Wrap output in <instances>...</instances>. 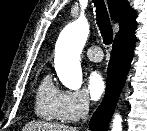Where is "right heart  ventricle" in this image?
<instances>
[{
    "mask_svg": "<svg viewBox=\"0 0 147 131\" xmlns=\"http://www.w3.org/2000/svg\"><path fill=\"white\" fill-rule=\"evenodd\" d=\"M61 91L54 84L51 76L42 77L35 94V113L38 117L53 121L59 120L58 103Z\"/></svg>",
    "mask_w": 147,
    "mask_h": 131,
    "instance_id": "obj_1",
    "label": "right heart ventricle"
}]
</instances>
